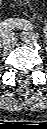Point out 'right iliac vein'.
<instances>
[{"label": "right iliac vein", "instance_id": "right-iliac-vein-1", "mask_svg": "<svg viewBox=\"0 0 47 129\" xmlns=\"http://www.w3.org/2000/svg\"><path fill=\"white\" fill-rule=\"evenodd\" d=\"M15 42H16V38L14 34H9L3 39L2 46L4 49L9 50L14 47Z\"/></svg>", "mask_w": 47, "mask_h": 129}]
</instances>
